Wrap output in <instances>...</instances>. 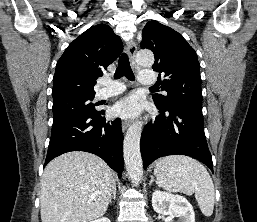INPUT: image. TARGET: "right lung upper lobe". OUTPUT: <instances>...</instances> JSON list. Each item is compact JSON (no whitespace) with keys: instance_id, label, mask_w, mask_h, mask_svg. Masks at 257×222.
Segmentation results:
<instances>
[{"instance_id":"cb5924a9","label":"right lung upper lobe","mask_w":257,"mask_h":222,"mask_svg":"<svg viewBox=\"0 0 257 222\" xmlns=\"http://www.w3.org/2000/svg\"><path fill=\"white\" fill-rule=\"evenodd\" d=\"M122 50V41L110 26L90 27L70 43L58 60L53 77V100L95 95V80Z\"/></svg>"}]
</instances>
